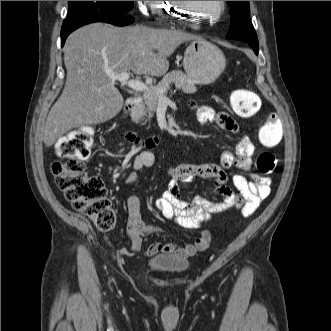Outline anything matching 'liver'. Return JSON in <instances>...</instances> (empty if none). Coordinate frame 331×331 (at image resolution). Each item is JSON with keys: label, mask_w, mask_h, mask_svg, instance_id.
Instances as JSON below:
<instances>
[{"label": "liver", "mask_w": 331, "mask_h": 331, "mask_svg": "<svg viewBox=\"0 0 331 331\" xmlns=\"http://www.w3.org/2000/svg\"><path fill=\"white\" fill-rule=\"evenodd\" d=\"M197 39L201 38L178 30L103 23L74 31L64 50L65 86L44 126L45 145L52 146L75 127L103 123L121 111L123 97L110 74L162 76L176 48Z\"/></svg>", "instance_id": "1"}]
</instances>
